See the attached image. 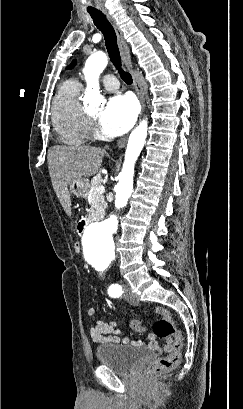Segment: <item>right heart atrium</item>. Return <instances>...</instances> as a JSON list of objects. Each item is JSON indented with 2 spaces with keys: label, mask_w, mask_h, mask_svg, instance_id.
I'll use <instances>...</instances> for the list:
<instances>
[{
  "label": "right heart atrium",
  "mask_w": 243,
  "mask_h": 409,
  "mask_svg": "<svg viewBox=\"0 0 243 409\" xmlns=\"http://www.w3.org/2000/svg\"><path fill=\"white\" fill-rule=\"evenodd\" d=\"M90 134H95V129L91 124H90Z\"/></svg>",
  "instance_id": "right-heart-atrium-1"
}]
</instances>
